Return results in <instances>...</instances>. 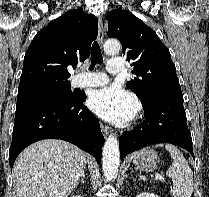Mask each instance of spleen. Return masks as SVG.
Listing matches in <instances>:
<instances>
[{
  "label": "spleen",
  "mask_w": 209,
  "mask_h": 197,
  "mask_svg": "<svg viewBox=\"0 0 209 197\" xmlns=\"http://www.w3.org/2000/svg\"><path fill=\"white\" fill-rule=\"evenodd\" d=\"M155 147H163V144H157ZM165 149L170 153L173 160L166 172L173 181V188L170 191L172 197H191L194 185L193 172L187 160L176 146L166 144ZM142 153L143 150L136 152L134 159H137ZM140 179L146 181L145 176L141 175Z\"/></svg>",
  "instance_id": "1"
}]
</instances>
